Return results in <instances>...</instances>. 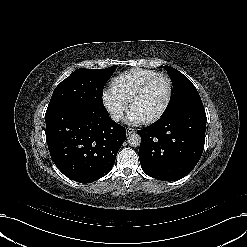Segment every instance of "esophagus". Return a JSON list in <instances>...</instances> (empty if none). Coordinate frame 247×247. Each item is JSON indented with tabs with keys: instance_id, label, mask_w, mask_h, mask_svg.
I'll return each instance as SVG.
<instances>
[{
	"instance_id": "1",
	"label": "esophagus",
	"mask_w": 247,
	"mask_h": 247,
	"mask_svg": "<svg viewBox=\"0 0 247 247\" xmlns=\"http://www.w3.org/2000/svg\"><path fill=\"white\" fill-rule=\"evenodd\" d=\"M134 132H135V129H133V128H127V129H126L127 135H130V134H132V133H134Z\"/></svg>"
}]
</instances>
